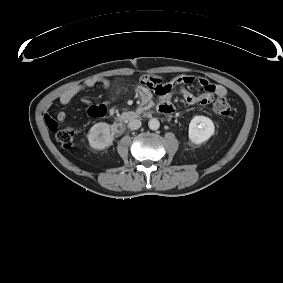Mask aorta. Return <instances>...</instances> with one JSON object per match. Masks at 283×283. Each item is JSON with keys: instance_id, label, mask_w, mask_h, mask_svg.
<instances>
[{"instance_id": "1", "label": "aorta", "mask_w": 283, "mask_h": 283, "mask_svg": "<svg viewBox=\"0 0 283 283\" xmlns=\"http://www.w3.org/2000/svg\"><path fill=\"white\" fill-rule=\"evenodd\" d=\"M148 126L151 130H158L160 127V122L156 118H152L148 122Z\"/></svg>"}]
</instances>
